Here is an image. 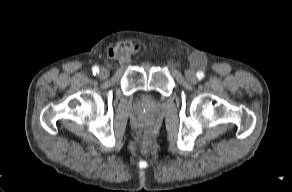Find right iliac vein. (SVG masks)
<instances>
[{
    "mask_svg": "<svg viewBox=\"0 0 292 192\" xmlns=\"http://www.w3.org/2000/svg\"><path fill=\"white\" fill-rule=\"evenodd\" d=\"M108 76H109V72H108L107 69L103 68V69L100 70L99 77L101 79H106Z\"/></svg>",
    "mask_w": 292,
    "mask_h": 192,
    "instance_id": "obj_1",
    "label": "right iliac vein"
}]
</instances>
